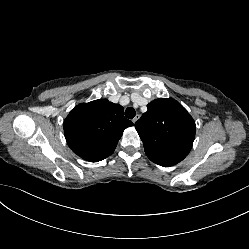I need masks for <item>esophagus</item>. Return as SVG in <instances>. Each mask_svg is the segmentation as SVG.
<instances>
[{
  "instance_id": "1",
  "label": "esophagus",
  "mask_w": 249,
  "mask_h": 249,
  "mask_svg": "<svg viewBox=\"0 0 249 249\" xmlns=\"http://www.w3.org/2000/svg\"><path fill=\"white\" fill-rule=\"evenodd\" d=\"M139 118H140V115H136V116L133 118L132 122H133V123H136V121H137Z\"/></svg>"
}]
</instances>
